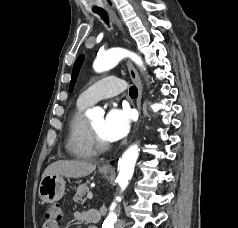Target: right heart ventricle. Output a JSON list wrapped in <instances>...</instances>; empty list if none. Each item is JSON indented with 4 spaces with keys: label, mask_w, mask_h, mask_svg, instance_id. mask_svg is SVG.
<instances>
[{
    "label": "right heart ventricle",
    "mask_w": 238,
    "mask_h": 228,
    "mask_svg": "<svg viewBox=\"0 0 238 228\" xmlns=\"http://www.w3.org/2000/svg\"><path fill=\"white\" fill-rule=\"evenodd\" d=\"M88 106L78 99L67 122L66 148L71 156L78 159H91L96 155L84 115Z\"/></svg>",
    "instance_id": "obj_1"
}]
</instances>
